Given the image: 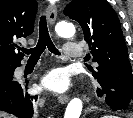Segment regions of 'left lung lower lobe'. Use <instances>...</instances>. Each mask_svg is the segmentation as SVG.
Wrapping results in <instances>:
<instances>
[{"mask_svg":"<svg viewBox=\"0 0 133 118\" xmlns=\"http://www.w3.org/2000/svg\"><path fill=\"white\" fill-rule=\"evenodd\" d=\"M101 95L103 100L106 101L113 110L126 109L127 107L133 106V100L117 89L104 88Z\"/></svg>","mask_w":133,"mask_h":118,"instance_id":"0a47b994","label":"left lung lower lobe"}]
</instances>
